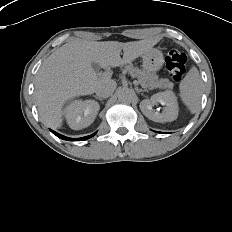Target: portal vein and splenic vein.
Returning <instances> with one entry per match:
<instances>
[{
    "label": "portal vein and splenic vein",
    "mask_w": 232,
    "mask_h": 232,
    "mask_svg": "<svg viewBox=\"0 0 232 232\" xmlns=\"http://www.w3.org/2000/svg\"><path fill=\"white\" fill-rule=\"evenodd\" d=\"M103 76L109 77V76H110V73H106L105 75L103 74ZM143 86L146 87L147 85H146V84H143Z\"/></svg>",
    "instance_id": "obj_1"
}]
</instances>
